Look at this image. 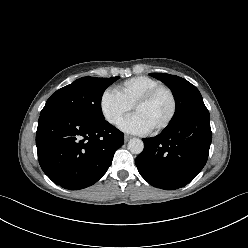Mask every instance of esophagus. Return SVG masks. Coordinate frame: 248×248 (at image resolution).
Listing matches in <instances>:
<instances>
[{"instance_id":"34e87169","label":"esophagus","mask_w":248,"mask_h":248,"mask_svg":"<svg viewBox=\"0 0 248 248\" xmlns=\"http://www.w3.org/2000/svg\"><path fill=\"white\" fill-rule=\"evenodd\" d=\"M132 137L130 135H124L125 142L129 141Z\"/></svg>"}]
</instances>
